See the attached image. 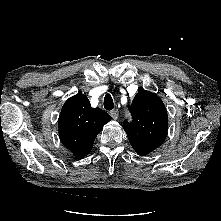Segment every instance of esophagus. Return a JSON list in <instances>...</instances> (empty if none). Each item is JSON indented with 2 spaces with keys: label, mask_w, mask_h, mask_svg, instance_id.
<instances>
[{
  "label": "esophagus",
  "mask_w": 221,
  "mask_h": 221,
  "mask_svg": "<svg viewBox=\"0 0 221 221\" xmlns=\"http://www.w3.org/2000/svg\"><path fill=\"white\" fill-rule=\"evenodd\" d=\"M110 115L112 116L114 120H116L118 118L119 112L118 110H112L110 111Z\"/></svg>",
  "instance_id": "1"
}]
</instances>
